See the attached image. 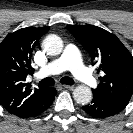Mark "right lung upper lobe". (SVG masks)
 <instances>
[{"instance_id":"1","label":"right lung upper lobe","mask_w":133,"mask_h":133,"mask_svg":"<svg viewBox=\"0 0 133 133\" xmlns=\"http://www.w3.org/2000/svg\"><path fill=\"white\" fill-rule=\"evenodd\" d=\"M49 27H27L9 33L0 43V104L18 117H31L50 96L51 88L32 89L26 81L33 74L31 58L37 41Z\"/></svg>"}]
</instances>
